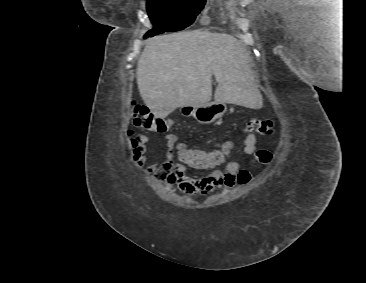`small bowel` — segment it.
Returning a JSON list of instances; mask_svg holds the SVG:
<instances>
[{"instance_id": "c3829d8e", "label": "small bowel", "mask_w": 366, "mask_h": 283, "mask_svg": "<svg viewBox=\"0 0 366 283\" xmlns=\"http://www.w3.org/2000/svg\"><path fill=\"white\" fill-rule=\"evenodd\" d=\"M245 139L243 142V151L247 155H254L257 149L256 136L247 128L243 129ZM167 151L162 161L155 162L148 166L146 144L149 138L145 135L136 137V147L134 149V162L137 166L144 169L152 178L162 180L169 187H176L180 193L187 196H205L215 190H226L232 188L238 181V174L242 170L238 161L227 162L224 170L214 169L220 165L227 153V146L219 150L210 152L214 162L202 169H213L205 175H196L188 172L182 164L174 162V151L177 145V136L167 134L165 136ZM183 146H180V149Z\"/></svg>"}]
</instances>
